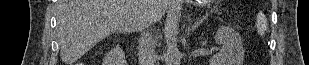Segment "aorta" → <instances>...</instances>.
<instances>
[{
    "mask_svg": "<svg viewBox=\"0 0 309 65\" xmlns=\"http://www.w3.org/2000/svg\"><path fill=\"white\" fill-rule=\"evenodd\" d=\"M178 15H175L170 20V23L167 27V31L169 33L167 39V48L165 52V64L166 65H180L181 55L178 49V45L174 39L178 29Z\"/></svg>",
    "mask_w": 309,
    "mask_h": 65,
    "instance_id": "1",
    "label": "aorta"
}]
</instances>
